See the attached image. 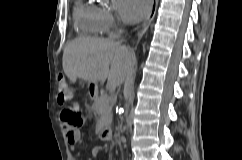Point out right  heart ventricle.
<instances>
[{
  "mask_svg": "<svg viewBox=\"0 0 242 160\" xmlns=\"http://www.w3.org/2000/svg\"><path fill=\"white\" fill-rule=\"evenodd\" d=\"M74 23L80 32L86 36H98L103 32L100 9L85 2L78 0L73 13Z\"/></svg>",
  "mask_w": 242,
  "mask_h": 160,
  "instance_id": "obj_1",
  "label": "right heart ventricle"
}]
</instances>
